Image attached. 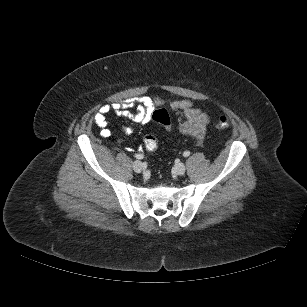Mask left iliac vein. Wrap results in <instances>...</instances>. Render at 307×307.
<instances>
[{
  "label": "left iliac vein",
  "instance_id": "obj_1",
  "mask_svg": "<svg viewBox=\"0 0 307 307\" xmlns=\"http://www.w3.org/2000/svg\"><path fill=\"white\" fill-rule=\"evenodd\" d=\"M174 171L177 175H183L186 171V166L183 163L176 164Z\"/></svg>",
  "mask_w": 307,
  "mask_h": 307
}]
</instances>
